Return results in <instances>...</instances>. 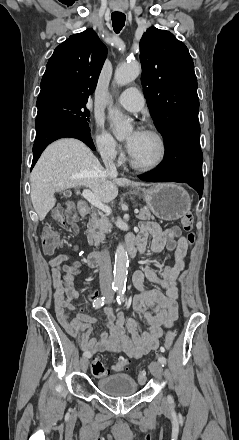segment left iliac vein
Here are the masks:
<instances>
[{
  "instance_id": "1",
  "label": "left iliac vein",
  "mask_w": 239,
  "mask_h": 440,
  "mask_svg": "<svg viewBox=\"0 0 239 440\" xmlns=\"http://www.w3.org/2000/svg\"><path fill=\"white\" fill-rule=\"evenodd\" d=\"M149 370L151 374L156 377L157 379H161L163 375V369L159 362H152L149 365ZM163 404H165V401H163Z\"/></svg>"
}]
</instances>
